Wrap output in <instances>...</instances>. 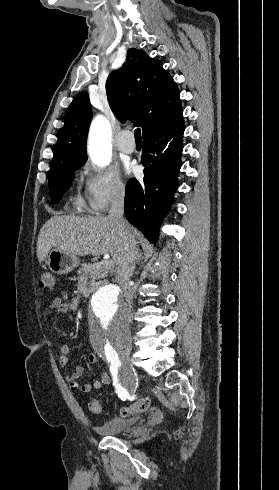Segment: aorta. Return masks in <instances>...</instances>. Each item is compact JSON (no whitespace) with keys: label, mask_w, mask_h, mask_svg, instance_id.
I'll list each match as a JSON object with an SVG mask.
<instances>
[{"label":"aorta","mask_w":279,"mask_h":490,"mask_svg":"<svg viewBox=\"0 0 279 490\" xmlns=\"http://www.w3.org/2000/svg\"><path fill=\"white\" fill-rule=\"evenodd\" d=\"M112 130L108 120L97 115L88 134V154L93 163L106 166L111 162ZM89 337L99 353H109L130 341V317L118 288L106 284L93 293L87 314Z\"/></svg>","instance_id":"1"}]
</instances>
